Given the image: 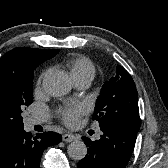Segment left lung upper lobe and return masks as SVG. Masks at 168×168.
<instances>
[{
	"label": "left lung upper lobe",
	"instance_id": "1",
	"mask_svg": "<svg viewBox=\"0 0 168 168\" xmlns=\"http://www.w3.org/2000/svg\"><path fill=\"white\" fill-rule=\"evenodd\" d=\"M92 119L99 122L100 128L120 125L139 131L137 90L131 75L122 66L118 65L116 76L104 83Z\"/></svg>",
	"mask_w": 168,
	"mask_h": 168
}]
</instances>
